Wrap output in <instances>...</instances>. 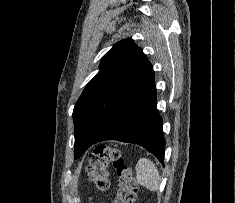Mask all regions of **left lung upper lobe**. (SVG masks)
Wrapping results in <instances>:
<instances>
[{
    "mask_svg": "<svg viewBox=\"0 0 235 203\" xmlns=\"http://www.w3.org/2000/svg\"><path fill=\"white\" fill-rule=\"evenodd\" d=\"M151 68L132 39L116 43L105 54L99 72L86 85L73 110L75 159L87 149H83L80 132L100 135Z\"/></svg>",
    "mask_w": 235,
    "mask_h": 203,
    "instance_id": "obj_1",
    "label": "left lung upper lobe"
}]
</instances>
